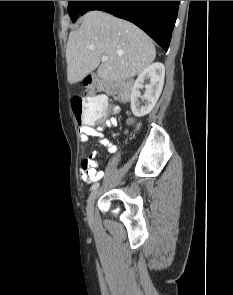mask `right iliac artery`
Wrapping results in <instances>:
<instances>
[{
  "label": "right iliac artery",
  "instance_id": "obj_1",
  "mask_svg": "<svg viewBox=\"0 0 233 295\" xmlns=\"http://www.w3.org/2000/svg\"><path fill=\"white\" fill-rule=\"evenodd\" d=\"M99 187V183H95L92 185L91 190H95Z\"/></svg>",
  "mask_w": 233,
  "mask_h": 295
}]
</instances>
